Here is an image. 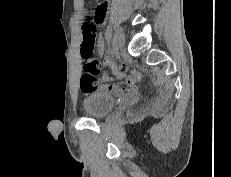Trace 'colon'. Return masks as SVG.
Here are the masks:
<instances>
[{
    "label": "colon",
    "mask_w": 231,
    "mask_h": 177,
    "mask_svg": "<svg viewBox=\"0 0 231 177\" xmlns=\"http://www.w3.org/2000/svg\"><path fill=\"white\" fill-rule=\"evenodd\" d=\"M83 44L81 47V57L83 59L84 73L80 79V88L83 93H90L95 90L109 91V85H100L97 81V75L100 72L99 62L93 56L96 43V25L93 21H86L82 25ZM122 71L127 70L126 64H121ZM132 77L137 81L143 80V75L139 71L133 70Z\"/></svg>",
    "instance_id": "5ec220e1"
}]
</instances>
